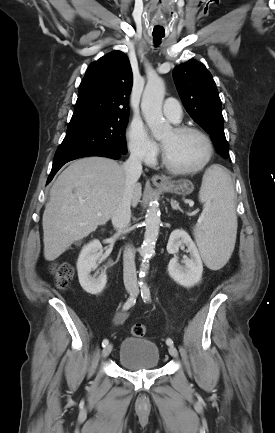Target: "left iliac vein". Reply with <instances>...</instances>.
I'll return each mask as SVG.
<instances>
[{
	"label": "left iliac vein",
	"instance_id": "left-iliac-vein-1",
	"mask_svg": "<svg viewBox=\"0 0 275 433\" xmlns=\"http://www.w3.org/2000/svg\"><path fill=\"white\" fill-rule=\"evenodd\" d=\"M168 351L172 357L176 358L178 356L177 349L174 346H170Z\"/></svg>",
	"mask_w": 275,
	"mask_h": 433
}]
</instances>
